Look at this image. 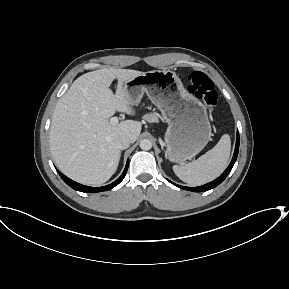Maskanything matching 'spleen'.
Instances as JSON below:
<instances>
[{"mask_svg": "<svg viewBox=\"0 0 289 289\" xmlns=\"http://www.w3.org/2000/svg\"><path fill=\"white\" fill-rule=\"evenodd\" d=\"M231 141L228 134L222 135L211 150L197 160L185 165H174V173L192 186L203 185L217 178L226 168L230 156Z\"/></svg>", "mask_w": 289, "mask_h": 289, "instance_id": "3e777b00", "label": "spleen"}]
</instances>
